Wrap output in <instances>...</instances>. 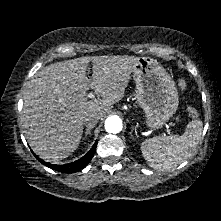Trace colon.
I'll return each mask as SVG.
<instances>
[{"label": "colon", "mask_w": 221, "mask_h": 221, "mask_svg": "<svg viewBox=\"0 0 221 221\" xmlns=\"http://www.w3.org/2000/svg\"><path fill=\"white\" fill-rule=\"evenodd\" d=\"M178 86H179L180 89L185 90L186 87H187V84H186L185 80L180 79V80L178 81ZM188 112H189V115H190L191 117H193V118H196V117H198V115H199L198 110H197L196 108H194V107H189V108H188Z\"/></svg>", "instance_id": "1"}]
</instances>
